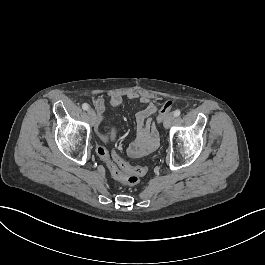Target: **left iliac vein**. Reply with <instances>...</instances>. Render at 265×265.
<instances>
[{"label":"left iliac vein","mask_w":265,"mask_h":265,"mask_svg":"<svg viewBox=\"0 0 265 265\" xmlns=\"http://www.w3.org/2000/svg\"><path fill=\"white\" fill-rule=\"evenodd\" d=\"M174 119H175L174 114L168 113L164 119V127L169 128L171 126V124L173 123Z\"/></svg>","instance_id":"4c4485c4"}]
</instances>
